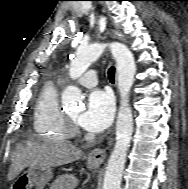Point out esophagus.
Here are the masks:
<instances>
[{"label": "esophagus", "mask_w": 188, "mask_h": 189, "mask_svg": "<svg viewBox=\"0 0 188 189\" xmlns=\"http://www.w3.org/2000/svg\"><path fill=\"white\" fill-rule=\"evenodd\" d=\"M111 145V140L109 141ZM106 158V150L102 148H95L88 154V161L92 164L99 165Z\"/></svg>", "instance_id": "34e87169"}]
</instances>
